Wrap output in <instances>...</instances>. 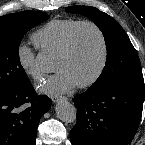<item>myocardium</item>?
Wrapping results in <instances>:
<instances>
[{"mask_svg":"<svg viewBox=\"0 0 145 145\" xmlns=\"http://www.w3.org/2000/svg\"><path fill=\"white\" fill-rule=\"evenodd\" d=\"M84 26H90L92 27L98 34L100 41H101V46H102V59L100 62V65L94 75L88 79L87 81L83 83L77 84L79 88H88L93 86L103 75L107 64L109 60V46H108V41L107 37L103 31V29L95 22L90 21V20H82L80 21L69 33L65 44L63 45L62 49L58 52L57 56L59 57H67L71 52L74 47L76 35L79 31L80 28Z\"/></svg>","mask_w":145,"mask_h":145,"instance_id":"1","label":"myocardium"}]
</instances>
